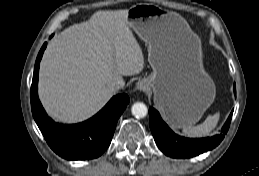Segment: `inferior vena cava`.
Segmentation results:
<instances>
[{"instance_id":"602c4592","label":"inferior vena cava","mask_w":259,"mask_h":176,"mask_svg":"<svg viewBox=\"0 0 259 176\" xmlns=\"http://www.w3.org/2000/svg\"><path fill=\"white\" fill-rule=\"evenodd\" d=\"M125 86V82L123 80V78H115L112 82H111V88L113 90H118L121 89Z\"/></svg>"}]
</instances>
